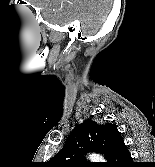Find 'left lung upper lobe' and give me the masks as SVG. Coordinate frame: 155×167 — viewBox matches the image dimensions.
Here are the masks:
<instances>
[{
  "instance_id": "left-lung-upper-lobe-1",
  "label": "left lung upper lobe",
  "mask_w": 155,
  "mask_h": 167,
  "mask_svg": "<svg viewBox=\"0 0 155 167\" xmlns=\"http://www.w3.org/2000/svg\"><path fill=\"white\" fill-rule=\"evenodd\" d=\"M123 141L116 125L112 123L98 124L87 120L75 127L68 136L63 148L47 162L48 167H94V163L86 161V152L102 154L108 166L116 149Z\"/></svg>"
}]
</instances>
